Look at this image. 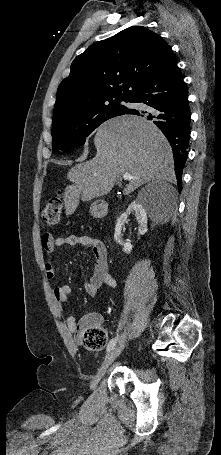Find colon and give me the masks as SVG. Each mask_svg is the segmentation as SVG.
I'll return each instance as SVG.
<instances>
[{
  "label": "colon",
  "instance_id": "5ec220e1",
  "mask_svg": "<svg viewBox=\"0 0 221 455\" xmlns=\"http://www.w3.org/2000/svg\"><path fill=\"white\" fill-rule=\"evenodd\" d=\"M63 208L61 195L51 197L42 210V220L47 226L58 224ZM107 334L97 323L88 325L84 330V345L89 350H101L106 346Z\"/></svg>",
  "mask_w": 221,
  "mask_h": 455
}]
</instances>
